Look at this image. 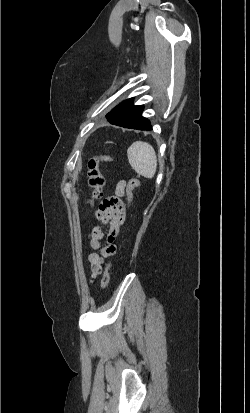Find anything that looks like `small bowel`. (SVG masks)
I'll use <instances>...</instances> for the list:
<instances>
[{"instance_id":"obj_1","label":"small bowel","mask_w":250,"mask_h":413,"mask_svg":"<svg viewBox=\"0 0 250 413\" xmlns=\"http://www.w3.org/2000/svg\"><path fill=\"white\" fill-rule=\"evenodd\" d=\"M124 190L125 182L120 181L115 188V195L104 199L96 212L97 220L107 224L109 228L107 233L108 244L105 246L102 244L105 238L102 229L99 226L92 228L89 246L93 252L88 255L92 278L102 272L104 261L116 253L117 248L114 240L119 234L125 219V206L121 199Z\"/></svg>"}]
</instances>
